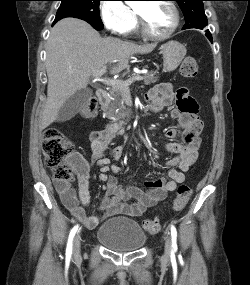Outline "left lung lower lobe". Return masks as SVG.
<instances>
[{
  "label": "left lung lower lobe",
  "mask_w": 250,
  "mask_h": 285,
  "mask_svg": "<svg viewBox=\"0 0 250 285\" xmlns=\"http://www.w3.org/2000/svg\"><path fill=\"white\" fill-rule=\"evenodd\" d=\"M205 35L207 36V38L212 42V36L211 33L209 31H206Z\"/></svg>",
  "instance_id": "1"
}]
</instances>
